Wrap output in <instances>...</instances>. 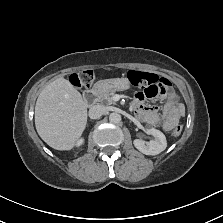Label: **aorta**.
I'll use <instances>...</instances> for the list:
<instances>
[{
	"mask_svg": "<svg viewBox=\"0 0 223 223\" xmlns=\"http://www.w3.org/2000/svg\"><path fill=\"white\" fill-rule=\"evenodd\" d=\"M109 121L112 123H118L121 121V116L118 113H110L109 115Z\"/></svg>",
	"mask_w": 223,
	"mask_h": 223,
	"instance_id": "762f6f07",
	"label": "aorta"
}]
</instances>
